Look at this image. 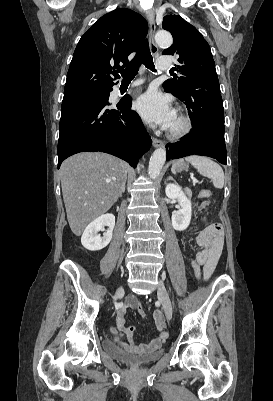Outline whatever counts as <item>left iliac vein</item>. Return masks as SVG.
I'll return each mask as SVG.
<instances>
[{
    "label": "left iliac vein",
    "instance_id": "1",
    "mask_svg": "<svg viewBox=\"0 0 273 401\" xmlns=\"http://www.w3.org/2000/svg\"><path fill=\"white\" fill-rule=\"evenodd\" d=\"M158 298L161 300L166 318L170 320L173 314V307L172 302L168 296L167 289L162 280L159 281L158 285Z\"/></svg>",
    "mask_w": 273,
    "mask_h": 401
}]
</instances>
